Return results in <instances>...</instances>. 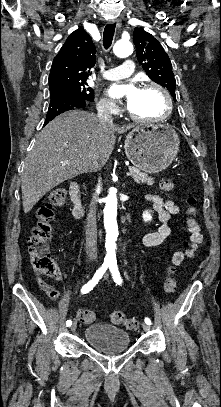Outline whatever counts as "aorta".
<instances>
[{
	"mask_svg": "<svg viewBox=\"0 0 221 407\" xmlns=\"http://www.w3.org/2000/svg\"><path fill=\"white\" fill-rule=\"evenodd\" d=\"M113 52L117 57L124 58L132 54L133 46L131 42L120 40L115 43ZM117 195L116 191L111 189L106 198V204L104 208V226L106 230V257L105 261L116 260V241L118 238V226H117Z\"/></svg>",
	"mask_w": 221,
	"mask_h": 407,
	"instance_id": "1",
	"label": "aorta"
}]
</instances>
